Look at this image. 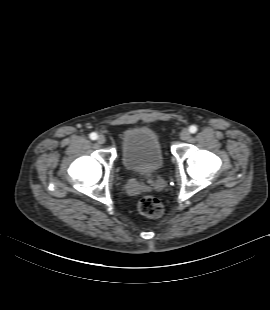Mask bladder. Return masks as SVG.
Listing matches in <instances>:
<instances>
[{"instance_id": "obj_1", "label": "bladder", "mask_w": 270, "mask_h": 310, "mask_svg": "<svg viewBox=\"0 0 270 310\" xmlns=\"http://www.w3.org/2000/svg\"><path fill=\"white\" fill-rule=\"evenodd\" d=\"M121 162L128 171L154 175L164 165V155L158 135L150 128L134 127L122 135Z\"/></svg>"}]
</instances>
